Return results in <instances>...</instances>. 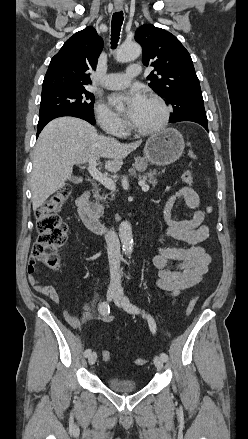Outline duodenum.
Returning <instances> with one entry per match:
<instances>
[{"label":"duodenum","instance_id":"obj_1","mask_svg":"<svg viewBox=\"0 0 248 439\" xmlns=\"http://www.w3.org/2000/svg\"><path fill=\"white\" fill-rule=\"evenodd\" d=\"M91 193L85 190L77 199L76 204L79 216L84 225L94 233H102L108 230V225L100 221V210L91 204Z\"/></svg>","mask_w":248,"mask_h":439}]
</instances>
